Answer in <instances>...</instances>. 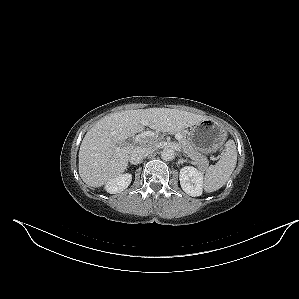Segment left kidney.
Segmentation results:
<instances>
[{
  "instance_id": "left-kidney-1",
  "label": "left kidney",
  "mask_w": 299,
  "mask_h": 299,
  "mask_svg": "<svg viewBox=\"0 0 299 299\" xmlns=\"http://www.w3.org/2000/svg\"><path fill=\"white\" fill-rule=\"evenodd\" d=\"M180 185L192 197L202 195L203 173L192 166H185L180 170Z\"/></svg>"
}]
</instances>
